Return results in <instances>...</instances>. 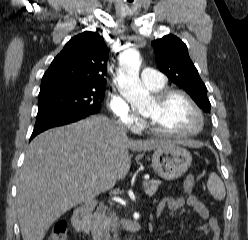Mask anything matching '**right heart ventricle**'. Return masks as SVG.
Masks as SVG:
<instances>
[{
	"label": "right heart ventricle",
	"mask_w": 248,
	"mask_h": 240,
	"mask_svg": "<svg viewBox=\"0 0 248 240\" xmlns=\"http://www.w3.org/2000/svg\"><path fill=\"white\" fill-rule=\"evenodd\" d=\"M163 88H164V85L160 86V87H156V88H150V89L153 91H158V90L163 89Z\"/></svg>",
	"instance_id": "1"
}]
</instances>
